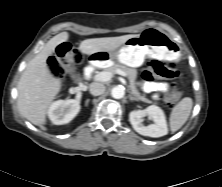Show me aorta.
<instances>
[{
    "instance_id": "obj_1",
    "label": "aorta",
    "mask_w": 222,
    "mask_h": 187,
    "mask_svg": "<svg viewBox=\"0 0 222 187\" xmlns=\"http://www.w3.org/2000/svg\"><path fill=\"white\" fill-rule=\"evenodd\" d=\"M125 91L121 86H115L111 90V95L115 99H121L124 97Z\"/></svg>"
}]
</instances>
